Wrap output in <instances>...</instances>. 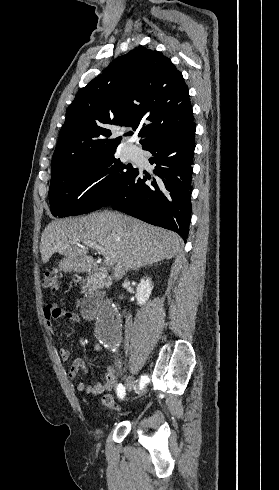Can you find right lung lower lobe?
Returning <instances> with one entry per match:
<instances>
[{
	"mask_svg": "<svg viewBox=\"0 0 279 490\" xmlns=\"http://www.w3.org/2000/svg\"><path fill=\"white\" fill-rule=\"evenodd\" d=\"M196 124L166 139L150 143L151 164L160 179L137 171L103 206L177 232L187 240L191 219V179Z\"/></svg>",
	"mask_w": 279,
	"mask_h": 490,
	"instance_id": "1",
	"label": "right lung lower lobe"
}]
</instances>
